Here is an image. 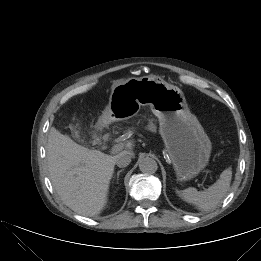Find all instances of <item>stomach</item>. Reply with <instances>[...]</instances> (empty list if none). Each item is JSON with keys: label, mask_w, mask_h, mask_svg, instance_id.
I'll return each instance as SVG.
<instances>
[{"label": "stomach", "mask_w": 261, "mask_h": 261, "mask_svg": "<svg viewBox=\"0 0 261 261\" xmlns=\"http://www.w3.org/2000/svg\"><path fill=\"white\" fill-rule=\"evenodd\" d=\"M144 106L159 120V132L177 179L185 182L196 177L208 165L212 143L188 109L183 92L160 77H132L114 86L100 124L130 119Z\"/></svg>", "instance_id": "1"}]
</instances>
